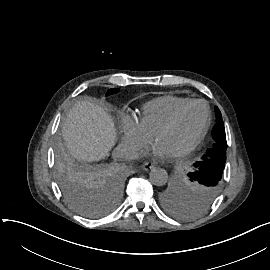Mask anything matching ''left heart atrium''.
<instances>
[{
	"label": "left heart atrium",
	"instance_id": "left-heart-atrium-1",
	"mask_svg": "<svg viewBox=\"0 0 270 270\" xmlns=\"http://www.w3.org/2000/svg\"><path fill=\"white\" fill-rule=\"evenodd\" d=\"M175 154L176 152L169 145L157 140L144 152L143 157L152 161H164L175 156Z\"/></svg>",
	"mask_w": 270,
	"mask_h": 270
}]
</instances>
